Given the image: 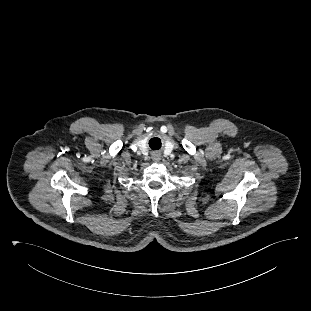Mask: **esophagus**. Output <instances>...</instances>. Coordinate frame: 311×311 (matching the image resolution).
Returning a JSON list of instances; mask_svg holds the SVG:
<instances>
[{
	"label": "esophagus",
	"mask_w": 311,
	"mask_h": 311,
	"mask_svg": "<svg viewBox=\"0 0 311 311\" xmlns=\"http://www.w3.org/2000/svg\"><path fill=\"white\" fill-rule=\"evenodd\" d=\"M158 160H159V158H158V157H156V158H155V161H158Z\"/></svg>",
	"instance_id": "obj_1"
}]
</instances>
